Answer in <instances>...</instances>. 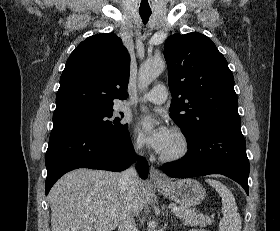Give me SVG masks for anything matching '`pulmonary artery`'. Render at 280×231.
<instances>
[{
  "instance_id": "1",
  "label": "pulmonary artery",
  "mask_w": 280,
  "mask_h": 231,
  "mask_svg": "<svg viewBox=\"0 0 280 231\" xmlns=\"http://www.w3.org/2000/svg\"><path fill=\"white\" fill-rule=\"evenodd\" d=\"M167 97H168V92L166 87L164 85H157L153 89H151L148 93L144 94L137 101L151 102L160 105L165 103Z\"/></svg>"
}]
</instances>
